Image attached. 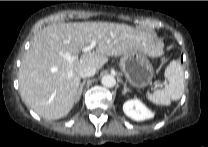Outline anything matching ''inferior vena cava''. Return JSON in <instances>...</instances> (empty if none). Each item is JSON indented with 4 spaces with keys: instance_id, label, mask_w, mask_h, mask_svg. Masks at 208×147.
<instances>
[{
    "instance_id": "obj_1",
    "label": "inferior vena cava",
    "mask_w": 208,
    "mask_h": 147,
    "mask_svg": "<svg viewBox=\"0 0 208 147\" xmlns=\"http://www.w3.org/2000/svg\"><path fill=\"white\" fill-rule=\"evenodd\" d=\"M96 73V68L94 66H86L82 68L79 72L81 78H87L94 76Z\"/></svg>"
}]
</instances>
